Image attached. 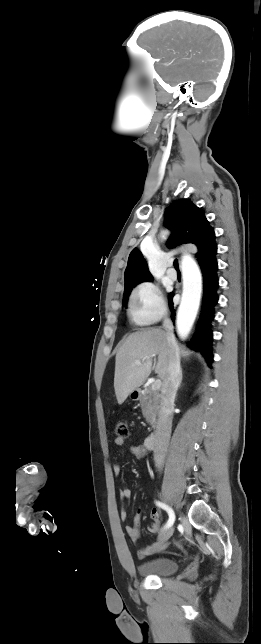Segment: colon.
Returning <instances> with one entry per match:
<instances>
[{"mask_svg":"<svg viewBox=\"0 0 261 644\" xmlns=\"http://www.w3.org/2000/svg\"><path fill=\"white\" fill-rule=\"evenodd\" d=\"M116 436L120 439H126L129 436L128 426L125 422H119L116 425Z\"/></svg>","mask_w":261,"mask_h":644,"instance_id":"obj_1","label":"colon"}]
</instances>
